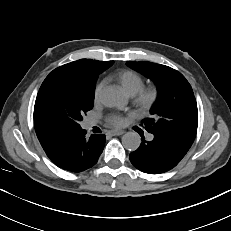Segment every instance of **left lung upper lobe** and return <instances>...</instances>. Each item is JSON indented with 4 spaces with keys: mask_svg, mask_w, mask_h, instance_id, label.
Returning <instances> with one entry per match:
<instances>
[{
    "mask_svg": "<svg viewBox=\"0 0 231 231\" xmlns=\"http://www.w3.org/2000/svg\"><path fill=\"white\" fill-rule=\"evenodd\" d=\"M132 69L152 79L158 89L151 118L143 121L150 133L184 137L194 141L198 109L193 90L186 78L171 67L152 62H127Z\"/></svg>",
    "mask_w": 231,
    "mask_h": 231,
    "instance_id": "1",
    "label": "left lung upper lobe"
}]
</instances>
